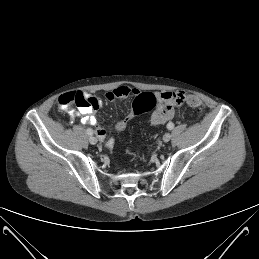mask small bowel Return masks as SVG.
Here are the masks:
<instances>
[{
	"label": "small bowel",
	"mask_w": 259,
	"mask_h": 259,
	"mask_svg": "<svg viewBox=\"0 0 259 259\" xmlns=\"http://www.w3.org/2000/svg\"><path fill=\"white\" fill-rule=\"evenodd\" d=\"M138 93L137 89L119 86L106 94V100L111 102L124 99L130 95H137ZM157 98L159 101L157 109L150 117V123L153 126L163 125L176 116V107L182 103L184 93L165 91L159 93ZM58 104L65 111L73 104L78 106V110L74 112V115L80 117L82 124L95 127V133L101 141L105 139L106 132L102 127L97 126L96 118L93 115V112L103 105L99 98L83 92H69L59 97Z\"/></svg>",
	"instance_id": "small-bowel-1"
}]
</instances>
